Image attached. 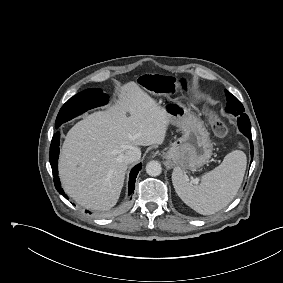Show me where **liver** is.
I'll use <instances>...</instances> for the list:
<instances>
[{"label": "liver", "mask_w": 283, "mask_h": 283, "mask_svg": "<svg viewBox=\"0 0 283 283\" xmlns=\"http://www.w3.org/2000/svg\"><path fill=\"white\" fill-rule=\"evenodd\" d=\"M169 124L165 109L138 83L124 84L114 106L88 115L67 133L59 160L65 192L86 208H112L127 170L124 153L162 144Z\"/></svg>", "instance_id": "1"}]
</instances>
